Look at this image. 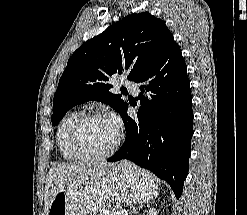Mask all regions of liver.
<instances>
[{
  "mask_svg": "<svg viewBox=\"0 0 247 215\" xmlns=\"http://www.w3.org/2000/svg\"><path fill=\"white\" fill-rule=\"evenodd\" d=\"M113 166L114 164L107 162L54 164L46 176L44 193L46 215L58 192L64 188L72 192L82 191L100 180Z\"/></svg>",
  "mask_w": 247,
  "mask_h": 215,
  "instance_id": "obj_1",
  "label": "liver"
}]
</instances>
